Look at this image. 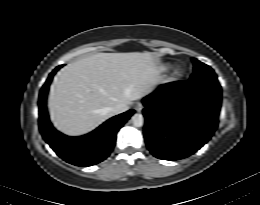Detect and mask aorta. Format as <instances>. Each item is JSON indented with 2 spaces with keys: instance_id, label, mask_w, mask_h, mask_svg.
<instances>
[{
  "instance_id": "762f6f07",
  "label": "aorta",
  "mask_w": 260,
  "mask_h": 205,
  "mask_svg": "<svg viewBox=\"0 0 260 205\" xmlns=\"http://www.w3.org/2000/svg\"><path fill=\"white\" fill-rule=\"evenodd\" d=\"M131 120H132V123H133V125H134L135 127H141V126H143V121H144V119H143L142 114H139V113L134 114V115L132 116Z\"/></svg>"
}]
</instances>
